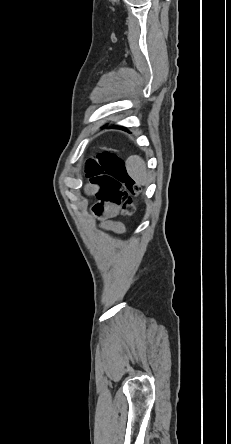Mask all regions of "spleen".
Wrapping results in <instances>:
<instances>
[{"mask_svg":"<svg viewBox=\"0 0 231 444\" xmlns=\"http://www.w3.org/2000/svg\"><path fill=\"white\" fill-rule=\"evenodd\" d=\"M126 170L129 176L139 185H147L150 177L145 162L138 156H130L126 161Z\"/></svg>","mask_w":231,"mask_h":444,"instance_id":"spleen-1","label":"spleen"}]
</instances>
